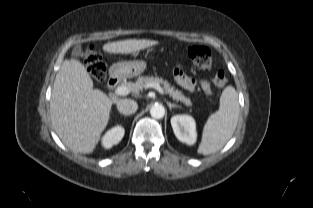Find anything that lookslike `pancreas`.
<instances>
[{"mask_svg":"<svg viewBox=\"0 0 313 208\" xmlns=\"http://www.w3.org/2000/svg\"><path fill=\"white\" fill-rule=\"evenodd\" d=\"M150 83L163 85L165 92L169 94L174 100L180 101L184 103L186 106H192L190 98L185 97L181 91L175 90L174 87L170 86V84L167 81H164L159 77L153 76L138 77L135 83L132 82L124 83V86L128 87L133 92H138L144 88H147V85Z\"/></svg>","mask_w":313,"mask_h":208,"instance_id":"1","label":"pancreas"}]
</instances>
